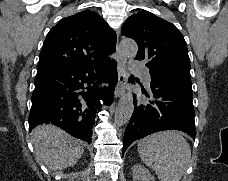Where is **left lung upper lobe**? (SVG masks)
Segmentation results:
<instances>
[{
    "label": "left lung upper lobe",
    "mask_w": 228,
    "mask_h": 181,
    "mask_svg": "<svg viewBox=\"0 0 228 181\" xmlns=\"http://www.w3.org/2000/svg\"><path fill=\"white\" fill-rule=\"evenodd\" d=\"M121 34L137 42L135 59L145 60L148 68L191 81L187 45L172 23L143 10L127 18Z\"/></svg>",
    "instance_id": "1"
}]
</instances>
